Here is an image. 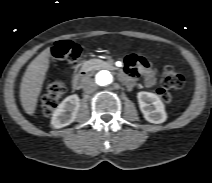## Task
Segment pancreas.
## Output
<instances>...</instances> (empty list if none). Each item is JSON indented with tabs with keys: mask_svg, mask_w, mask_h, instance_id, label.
Segmentation results:
<instances>
[{
	"mask_svg": "<svg viewBox=\"0 0 212 183\" xmlns=\"http://www.w3.org/2000/svg\"><path fill=\"white\" fill-rule=\"evenodd\" d=\"M94 64H99L100 66L104 67V68H108V69H112V65L110 61H100V60H89L86 61L84 64L85 69L93 66Z\"/></svg>",
	"mask_w": 212,
	"mask_h": 183,
	"instance_id": "pancreas-1",
	"label": "pancreas"
}]
</instances>
